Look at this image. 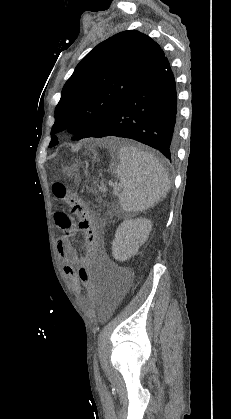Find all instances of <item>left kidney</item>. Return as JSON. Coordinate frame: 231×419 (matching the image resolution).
Returning <instances> with one entry per match:
<instances>
[{
  "instance_id": "1",
  "label": "left kidney",
  "mask_w": 231,
  "mask_h": 419,
  "mask_svg": "<svg viewBox=\"0 0 231 419\" xmlns=\"http://www.w3.org/2000/svg\"><path fill=\"white\" fill-rule=\"evenodd\" d=\"M152 222L146 218L124 220L117 228L112 242V255L117 261L134 256L149 237Z\"/></svg>"
}]
</instances>
